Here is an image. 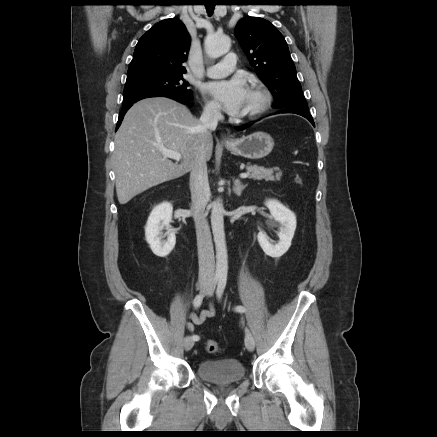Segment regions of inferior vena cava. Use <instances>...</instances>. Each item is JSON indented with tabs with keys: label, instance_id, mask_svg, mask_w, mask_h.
Instances as JSON below:
<instances>
[{
	"label": "inferior vena cava",
	"instance_id": "602c4592",
	"mask_svg": "<svg viewBox=\"0 0 437 437\" xmlns=\"http://www.w3.org/2000/svg\"><path fill=\"white\" fill-rule=\"evenodd\" d=\"M221 112L216 107H206L200 122L206 134L215 130L221 119ZM191 210L196 227L199 282L211 283L214 280L215 260L210 228L206 219L205 208L210 198L207 164L205 160L193 166L190 173Z\"/></svg>",
	"mask_w": 437,
	"mask_h": 437
}]
</instances>
